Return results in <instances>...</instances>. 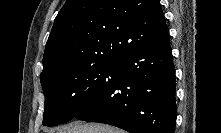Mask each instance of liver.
Here are the masks:
<instances>
[{
    "label": "liver",
    "mask_w": 221,
    "mask_h": 133,
    "mask_svg": "<svg viewBox=\"0 0 221 133\" xmlns=\"http://www.w3.org/2000/svg\"><path fill=\"white\" fill-rule=\"evenodd\" d=\"M53 131L54 133H124L123 130L116 129L109 125L97 123L88 124L80 121H75Z\"/></svg>",
    "instance_id": "obj_1"
}]
</instances>
